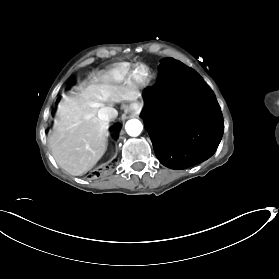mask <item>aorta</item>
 Masks as SVG:
<instances>
[{"label":"aorta","mask_w":279,"mask_h":279,"mask_svg":"<svg viewBox=\"0 0 279 279\" xmlns=\"http://www.w3.org/2000/svg\"><path fill=\"white\" fill-rule=\"evenodd\" d=\"M125 129L128 135L136 137L142 132L143 125L139 120L131 119L127 121Z\"/></svg>","instance_id":"obj_1"}]
</instances>
